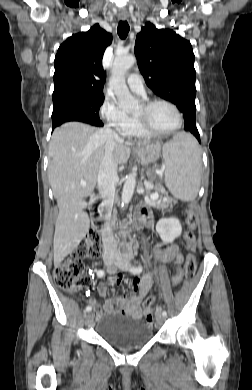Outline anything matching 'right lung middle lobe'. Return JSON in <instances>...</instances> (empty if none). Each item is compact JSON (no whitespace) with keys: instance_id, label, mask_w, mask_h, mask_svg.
Wrapping results in <instances>:
<instances>
[{"instance_id":"dd1d6c3e","label":"right lung middle lobe","mask_w":252,"mask_h":390,"mask_svg":"<svg viewBox=\"0 0 252 390\" xmlns=\"http://www.w3.org/2000/svg\"><path fill=\"white\" fill-rule=\"evenodd\" d=\"M103 101L104 97L86 96H74L53 101L52 122L71 118L103 125L99 119V109Z\"/></svg>"}]
</instances>
